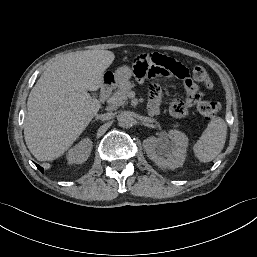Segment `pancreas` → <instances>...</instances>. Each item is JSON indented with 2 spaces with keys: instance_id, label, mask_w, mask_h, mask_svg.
<instances>
[{
  "instance_id": "cf45deb5",
  "label": "pancreas",
  "mask_w": 257,
  "mask_h": 257,
  "mask_svg": "<svg viewBox=\"0 0 257 257\" xmlns=\"http://www.w3.org/2000/svg\"><path fill=\"white\" fill-rule=\"evenodd\" d=\"M132 82H124L119 88L107 99L108 110H116L120 106H124L128 100V93L134 87Z\"/></svg>"
}]
</instances>
